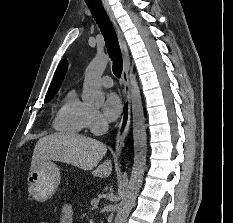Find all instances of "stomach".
I'll list each match as a JSON object with an SVG mask.
<instances>
[{"label": "stomach", "instance_id": "0dacf381", "mask_svg": "<svg viewBox=\"0 0 233 223\" xmlns=\"http://www.w3.org/2000/svg\"><path fill=\"white\" fill-rule=\"evenodd\" d=\"M61 183L60 167L50 159H40L32 167L27 177L30 197L36 201H47Z\"/></svg>", "mask_w": 233, "mask_h": 223}]
</instances>
